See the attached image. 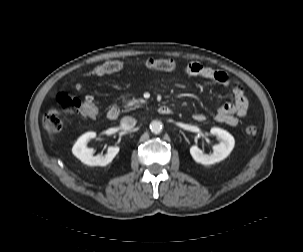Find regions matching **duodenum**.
Here are the masks:
<instances>
[{"label": "duodenum", "mask_w": 303, "mask_h": 252, "mask_svg": "<svg viewBox=\"0 0 303 252\" xmlns=\"http://www.w3.org/2000/svg\"><path fill=\"white\" fill-rule=\"evenodd\" d=\"M159 112L161 114L166 115V114H170L172 112V109L167 105H163L159 107ZM119 114H120V106L118 104H114L108 111V118L110 120H116Z\"/></svg>", "instance_id": "duodenum-1"}]
</instances>
